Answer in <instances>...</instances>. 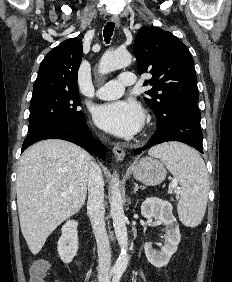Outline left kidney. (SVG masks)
Returning a JSON list of instances; mask_svg holds the SVG:
<instances>
[{
  "instance_id": "1",
  "label": "left kidney",
  "mask_w": 232,
  "mask_h": 282,
  "mask_svg": "<svg viewBox=\"0 0 232 282\" xmlns=\"http://www.w3.org/2000/svg\"><path fill=\"white\" fill-rule=\"evenodd\" d=\"M173 207L168 201L157 197L146 198L141 205V214L147 219L154 218L166 226L165 241L161 251H156L150 243H145L144 250L148 261L157 268L166 266L176 252L180 242V231L172 213Z\"/></svg>"
}]
</instances>
